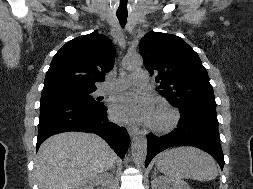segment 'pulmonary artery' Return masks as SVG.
Listing matches in <instances>:
<instances>
[{"label":"pulmonary artery","mask_w":253,"mask_h":189,"mask_svg":"<svg viewBox=\"0 0 253 189\" xmlns=\"http://www.w3.org/2000/svg\"><path fill=\"white\" fill-rule=\"evenodd\" d=\"M131 82L140 86L148 84V76L146 73H135L130 77H121L116 82H105L97 91L98 95H106L112 90H120L127 87Z\"/></svg>","instance_id":"pulmonary-artery-1"}]
</instances>
